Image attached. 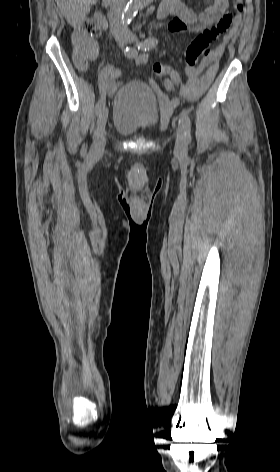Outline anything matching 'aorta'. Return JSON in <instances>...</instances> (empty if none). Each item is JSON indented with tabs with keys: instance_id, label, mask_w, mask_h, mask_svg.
<instances>
[{
	"instance_id": "1",
	"label": "aorta",
	"mask_w": 280,
	"mask_h": 472,
	"mask_svg": "<svg viewBox=\"0 0 280 472\" xmlns=\"http://www.w3.org/2000/svg\"><path fill=\"white\" fill-rule=\"evenodd\" d=\"M152 1L153 0H130L122 14V21L126 23L128 20L132 19L140 9Z\"/></svg>"
}]
</instances>
